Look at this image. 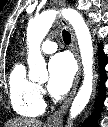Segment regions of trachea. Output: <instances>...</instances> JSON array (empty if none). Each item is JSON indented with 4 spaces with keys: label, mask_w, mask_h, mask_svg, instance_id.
I'll return each instance as SVG.
<instances>
[{
    "label": "trachea",
    "mask_w": 108,
    "mask_h": 127,
    "mask_svg": "<svg viewBox=\"0 0 108 127\" xmlns=\"http://www.w3.org/2000/svg\"><path fill=\"white\" fill-rule=\"evenodd\" d=\"M62 36H63V40L66 44H69L71 42V34L68 31L63 30Z\"/></svg>",
    "instance_id": "obj_1"
}]
</instances>
